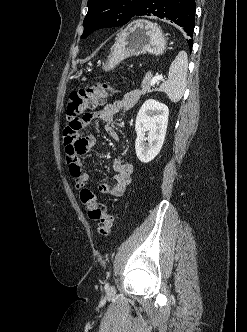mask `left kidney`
<instances>
[{"label": "left kidney", "mask_w": 247, "mask_h": 332, "mask_svg": "<svg viewBox=\"0 0 247 332\" xmlns=\"http://www.w3.org/2000/svg\"><path fill=\"white\" fill-rule=\"evenodd\" d=\"M168 116V107L153 99L145 101L140 108L135 123V150L141 162L152 161L160 152L165 140Z\"/></svg>", "instance_id": "5707ae66"}]
</instances>
